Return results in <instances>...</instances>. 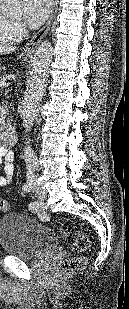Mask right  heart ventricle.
<instances>
[{
  "label": "right heart ventricle",
  "instance_id": "obj_1",
  "mask_svg": "<svg viewBox=\"0 0 129 309\" xmlns=\"http://www.w3.org/2000/svg\"><path fill=\"white\" fill-rule=\"evenodd\" d=\"M17 39L13 32V22L0 9V44H9Z\"/></svg>",
  "mask_w": 129,
  "mask_h": 309
}]
</instances>
